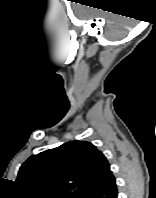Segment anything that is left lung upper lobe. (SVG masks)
I'll return each instance as SVG.
<instances>
[{
    "label": "left lung upper lobe",
    "instance_id": "left-lung-upper-lobe-1",
    "mask_svg": "<svg viewBox=\"0 0 156 198\" xmlns=\"http://www.w3.org/2000/svg\"><path fill=\"white\" fill-rule=\"evenodd\" d=\"M110 173L107 159L93 144L70 141L29 157L16 182L27 198H84Z\"/></svg>",
    "mask_w": 156,
    "mask_h": 198
}]
</instances>
